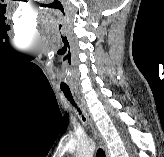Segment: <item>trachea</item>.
I'll return each instance as SVG.
<instances>
[{
  "mask_svg": "<svg viewBox=\"0 0 164 157\" xmlns=\"http://www.w3.org/2000/svg\"><path fill=\"white\" fill-rule=\"evenodd\" d=\"M62 91H63L65 97L70 101V103H71L73 106L77 107V106H76V103H75V101H74V99H73V96H72L71 91H70L69 89H62ZM78 112H79V114H81V111H80L79 108H78ZM82 118H83V121H85V118H84V117H82ZM96 156H97V157H105V152H104L101 148H99V149L97 150Z\"/></svg>",
  "mask_w": 164,
  "mask_h": 157,
  "instance_id": "obj_1",
  "label": "trachea"
}]
</instances>
